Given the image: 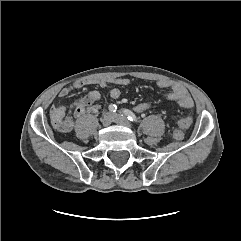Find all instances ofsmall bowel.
I'll return each mask as SVG.
<instances>
[{"label":"small bowel","instance_id":"c3829d8e","mask_svg":"<svg viewBox=\"0 0 241 241\" xmlns=\"http://www.w3.org/2000/svg\"><path fill=\"white\" fill-rule=\"evenodd\" d=\"M130 80L128 78H112V79H79L69 86L64 87L59 92L61 98L67 97L73 90L83 88L88 85H97L101 88H107L110 84L114 87L110 90V97L112 99H118L121 95V87L129 85ZM156 85L161 88L170 89L167 98L173 102H176L183 109H191L194 105L193 99L190 94L178 83L171 82L169 80L160 79L156 81ZM101 95L98 91H91L87 93L76 105L74 109V117L79 119L87 113H95L99 110V100ZM55 111H60L65 115L64 106H54L52 109V117ZM73 123L70 119H66L61 131H70Z\"/></svg>","mask_w":241,"mask_h":241}]
</instances>
